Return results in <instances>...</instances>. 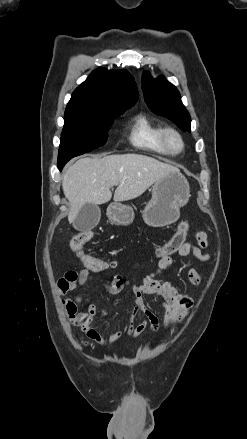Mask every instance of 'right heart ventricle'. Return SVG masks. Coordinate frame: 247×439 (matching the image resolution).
<instances>
[{"label": "right heart ventricle", "mask_w": 247, "mask_h": 439, "mask_svg": "<svg viewBox=\"0 0 247 439\" xmlns=\"http://www.w3.org/2000/svg\"><path fill=\"white\" fill-rule=\"evenodd\" d=\"M161 130L162 127L154 119L139 113L131 121L128 139L138 149L167 154L160 140Z\"/></svg>", "instance_id": "obj_1"}]
</instances>
